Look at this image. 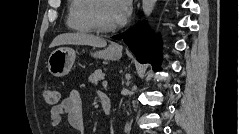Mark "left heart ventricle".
Listing matches in <instances>:
<instances>
[{
	"mask_svg": "<svg viewBox=\"0 0 239 134\" xmlns=\"http://www.w3.org/2000/svg\"><path fill=\"white\" fill-rule=\"evenodd\" d=\"M98 15L101 23L105 26H115L116 22L111 11V2L103 0L99 4Z\"/></svg>",
	"mask_w": 239,
	"mask_h": 134,
	"instance_id": "left-heart-ventricle-1",
	"label": "left heart ventricle"
}]
</instances>
